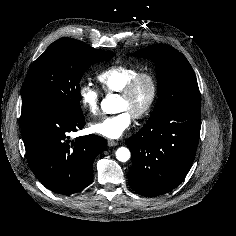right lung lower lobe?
Masks as SVG:
<instances>
[{
	"instance_id": "obj_1",
	"label": "right lung lower lobe",
	"mask_w": 236,
	"mask_h": 236,
	"mask_svg": "<svg viewBox=\"0 0 236 236\" xmlns=\"http://www.w3.org/2000/svg\"><path fill=\"white\" fill-rule=\"evenodd\" d=\"M85 125L83 113L38 108L21 115V133L28 164L49 190L71 195L93 178V161L106 149L102 137L87 135L70 140Z\"/></svg>"
}]
</instances>
